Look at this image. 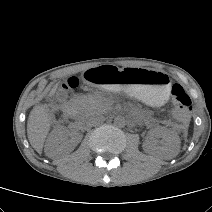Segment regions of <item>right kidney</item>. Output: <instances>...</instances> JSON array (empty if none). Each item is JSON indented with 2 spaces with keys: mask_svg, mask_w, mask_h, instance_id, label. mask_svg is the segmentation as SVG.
Listing matches in <instances>:
<instances>
[{
  "mask_svg": "<svg viewBox=\"0 0 212 212\" xmlns=\"http://www.w3.org/2000/svg\"><path fill=\"white\" fill-rule=\"evenodd\" d=\"M82 137L79 132H67L64 126L56 125L45 145V153L52 159L68 154L78 145Z\"/></svg>",
  "mask_w": 212,
  "mask_h": 212,
  "instance_id": "right-kidney-1",
  "label": "right kidney"
}]
</instances>
